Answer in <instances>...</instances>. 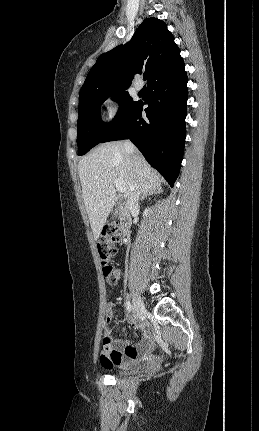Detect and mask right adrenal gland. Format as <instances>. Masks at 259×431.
Segmentation results:
<instances>
[{
    "instance_id": "obj_1",
    "label": "right adrenal gland",
    "mask_w": 259,
    "mask_h": 431,
    "mask_svg": "<svg viewBox=\"0 0 259 431\" xmlns=\"http://www.w3.org/2000/svg\"><path fill=\"white\" fill-rule=\"evenodd\" d=\"M156 192H160V189H156V190H152L151 192H146L145 194H143V196L141 197V200H144L145 198H147V196L152 195Z\"/></svg>"
}]
</instances>
